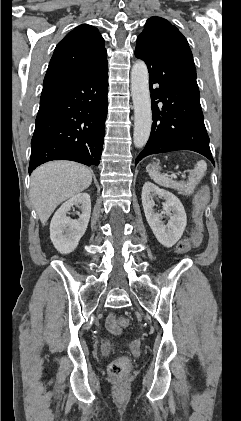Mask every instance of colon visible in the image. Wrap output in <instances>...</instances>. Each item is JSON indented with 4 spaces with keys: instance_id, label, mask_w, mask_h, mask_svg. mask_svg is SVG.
Segmentation results:
<instances>
[{
    "instance_id": "colon-1",
    "label": "colon",
    "mask_w": 241,
    "mask_h": 421,
    "mask_svg": "<svg viewBox=\"0 0 241 421\" xmlns=\"http://www.w3.org/2000/svg\"><path fill=\"white\" fill-rule=\"evenodd\" d=\"M209 201V192L206 188H202L197 194L195 206L193 211V221L197 228H201L203 224V215ZM192 247V239L187 237L182 239L177 247L176 254L181 255L188 252ZM116 324L119 326H127L129 324L128 318L120 316L116 319ZM129 368V360L125 356H120L109 365V373L111 376L121 378Z\"/></svg>"
}]
</instances>
